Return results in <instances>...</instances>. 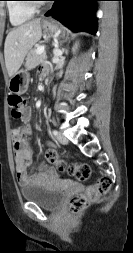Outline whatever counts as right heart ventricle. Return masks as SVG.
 Here are the masks:
<instances>
[{
	"mask_svg": "<svg viewBox=\"0 0 133 253\" xmlns=\"http://www.w3.org/2000/svg\"><path fill=\"white\" fill-rule=\"evenodd\" d=\"M9 20L12 25L19 26L30 20L34 15V10L30 9L21 0H11L7 3Z\"/></svg>",
	"mask_w": 133,
	"mask_h": 253,
	"instance_id": "obj_1",
	"label": "right heart ventricle"
}]
</instances>
